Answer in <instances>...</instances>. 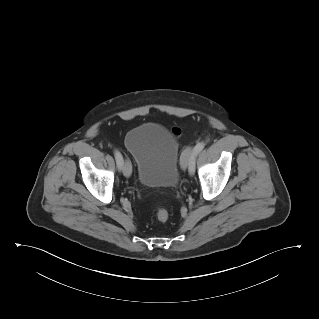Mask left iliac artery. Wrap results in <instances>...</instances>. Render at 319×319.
Wrapping results in <instances>:
<instances>
[{"instance_id": "1", "label": "left iliac artery", "mask_w": 319, "mask_h": 319, "mask_svg": "<svg viewBox=\"0 0 319 319\" xmlns=\"http://www.w3.org/2000/svg\"><path fill=\"white\" fill-rule=\"evenodd\" d=\"M204 147H205V143L199 142L194 148V154L189 161V173L191 175H193L195 172V157L197 156L199 152H201L204 149Z\"/></svg>"}]
</instances>
